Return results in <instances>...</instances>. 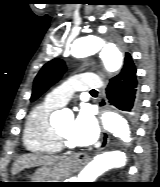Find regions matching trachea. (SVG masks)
<instances>
[{
  "label": "trachea",
  "mask_w": 160,
  "mask_h": 187,
  "mask_svg": "<svg viewBox=\"0 0 160 187\" xmlns=\"http://www.w3.org/2000/svg\"><path fill=\"white\" fill-rule=\"evenodd\" d=\"M95 92H97L96 90H91V93H95Z\"/></svg>",
  "instance_id": "obj_1"
}]
</instances>
